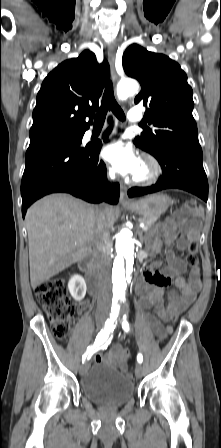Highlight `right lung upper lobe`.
I'll use <instances>...</instances> for the list:
<instances>
[{"label":"right lung upper lobe","mask_w":221,"mask_h":448,"mask_svg":"<svg viewBox=\"0 0 221 448\" xmlns=\"http://www.w3.org/2000/svg\"><path fill=\"white\" fill-rule=\"evenodd\" d=\"M109 76L108 62L98 64L89 50L50 72L37 94L29 148L84 134L92 123L86 119L99 108V97Z\"/></svg>","instance_id":"cb5924a9"}]
</instances>
